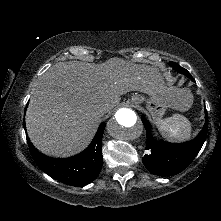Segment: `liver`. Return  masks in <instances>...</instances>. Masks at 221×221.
Returning <instances> with one entry per match:
<instances>
[{"label":"liver","instance_id":"1","mask_svg":"<svg viewBox=\"0 0 221 221\" xmlns=\"http://www.w3.org/2000/svg\"><path fill=\"white\" fill-rule=\"evenodd\" d=\"M157 68L121 58L104 63L58 62L37 81L26 113L33 145L42 153L68 157L83 150L102 119L99 109L113 110L120 96L140 91L166 99L182 111L177 96H167Z\"/></svg>","mask_w":221,"mask_h":221}]
</instances>
